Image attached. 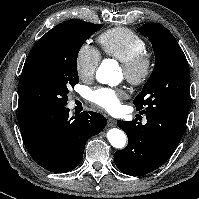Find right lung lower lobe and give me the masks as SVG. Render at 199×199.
<instances>
[{"instance_id": "right-lung-lower-lobe-1", "label": "right lung lower lobe", "mask_w": 199, "mask_h": 199, "mask_svg": "<svg viewBox=\"0 0 199 199\" xmlns=\"http://www.w3.org/2000/svg\"><path fill=\"white\" fill-rule=\"evenodd\" d=\"M106 123L103 115L92 111L70 117L69 109L64 107L46 115L22 139L37 164L48 171L64 173L77 167L87 140L99 134Z\"/></svg>"}]
</instances>
